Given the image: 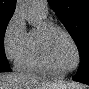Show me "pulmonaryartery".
Returning a JSON list of instances; mask_svg holds the SVG:
<instances>
[{"label":"pulmonary artery","instance_id":"e3ab8cb5","mask_svg":"<svg viewBox=\"0 0 89 89\" xmlns=\"http://www.w3.org/2000/svg\"><path fill=\"white\" fill-rule=\"evenodd\" d=\"M35 4V8L37 9V11L39 13H41L42 15H47L48 10H47V1L45 0H38V1H34Z\"/></svg>","mask_w":89,"mask_h":89}]
</instances>
